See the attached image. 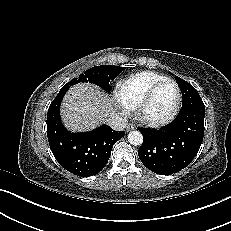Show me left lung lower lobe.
<instances>
[{
	"label": "left lung lower lobe",
	"mask_w": 231,
	"mask_h": 231,
	"mask_svg": "<svg viewBox=\"0 0 231 231\" xmlns=\"http://www.w3.org/2000/svg\"><path fill=\"white\" fill-rule=\"evenodd\" d=\"M205 105L182 109L176 119L160 130L139 128L143 143L138 156L146 168L171 175L187 167L198 153L204 137Z\"/></svg>",
	"instance_id": "0a47b994"
}]
</instances>
